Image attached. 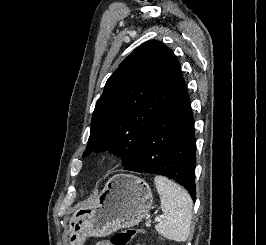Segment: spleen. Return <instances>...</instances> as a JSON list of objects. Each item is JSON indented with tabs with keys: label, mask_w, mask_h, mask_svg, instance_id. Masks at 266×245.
Wrapping results in <instances>:
<instances>
[{
	"label": "spleen",
	"mask_w": 266,
	"mask_h": 245,
	"mask_svg": "<svg viewBox=\"0 0 266 245\" xmlns=\"http://www.w3.org/2000/svg\"><path fill=\"white\" fill-rule=\"evenodd\" d=\"M154 183L164 215L155 229L165 239L184 243L189 237L192 223V199L185 189L166 177H155Z\"/></svg>",
	"instance_id": "obj_1"
}]
</instances>
